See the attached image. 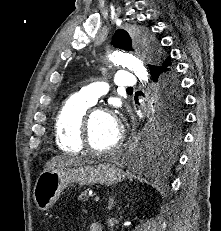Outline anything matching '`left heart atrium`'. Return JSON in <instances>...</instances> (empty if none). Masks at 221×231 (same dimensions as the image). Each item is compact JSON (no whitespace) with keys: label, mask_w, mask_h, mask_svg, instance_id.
Wrapping results in <instances>:
<instances>
[{"label":"left heart atrium","mask_w":221,"mask_h":231,"mask_svg":"<svg viewBox=\"0 0 221 231\" xmlns=\"http://www.w3.org/2000/svg\"><path fill=\"white\" fill-rule=\"evenodd\" d=\"M113 122H114V125L119 128V122L116 118L113 117Z\"/></svg>","instance_id":"obj_1"}]
</instances>
